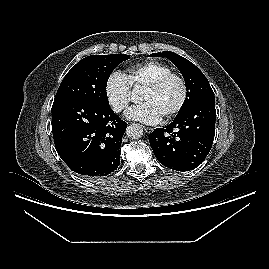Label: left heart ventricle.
I'll return each instance as SVG.
<instances>
[{
  "instance_id": "left-heart-ventricle-1",
  "label": "left heart ventricle",
  "mask_w": 269,
  "mask_h": 269,
  "mask_svg": "<svg viewBox=\"0 0 269 269\" xmlns=\"http://www.w3.org/2000/svg\"><path fill=\"white\" fill-rule=\"evenodd\" d=\"M181 95L182 86L179 80L173 78L156 92L145 89L141 100L143 102H150L162 118L177 105Z\"/></svg>"
}]
</instances>
